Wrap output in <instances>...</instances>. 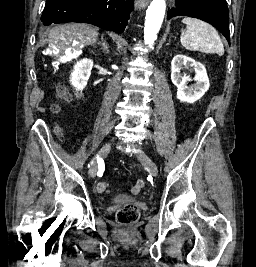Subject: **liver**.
Returning a JSON list of instances; mask_svg holds the SVG:
<instances>
[{"instance_id":"6515ba94","label":"liver","mask_w":256,"mask_h":267,"mask_svg":"<svg viewBox=\"0 0 256 267\" xmlns=\"http://www.w3.org/2000/svg\"><path fill=\"white\" fill-rule=\"evenodd\" d=\"M48 38L52 44H57L59 54H64L67 48H71V42L78 40L80 44L78 46H91L96 44L99 34L95 28H91L89 24H64V26H55L48 34ZM75 48L77 52H80L81 48ZM48 52H51V48H48ZM59 54L53 56L54 60L60 58ZM78 58V56H75Z\"/></svg>"}]
</instances>
